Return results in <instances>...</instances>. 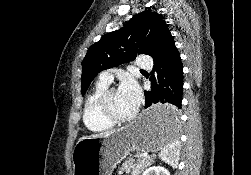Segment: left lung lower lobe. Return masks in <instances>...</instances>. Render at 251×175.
<instances>
[{
  "mask_svg": "<svg viewBox=\"0 0 251 175\" xmlns=\"http://www.w3.org/2000/svg\"><path fill=\"white\" fill-rule=\"evenodd\" d=\"M152 58L158 77L150 78L151 91L145 92V108L150 109L142 121L150 126L177 124L181 119L183 66L170 32Z\"/></svg>",
  "mask_w": 251,
  "mask_h": 175,
  "instance_id": "obj_1",
  "label": "left lung lower lobe"
}]
</instances>
